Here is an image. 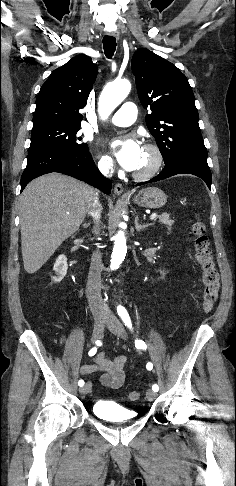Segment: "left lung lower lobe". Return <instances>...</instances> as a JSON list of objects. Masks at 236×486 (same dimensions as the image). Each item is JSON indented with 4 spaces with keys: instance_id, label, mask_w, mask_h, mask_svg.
Wrapping results in <instances>:
<instances>
[{
    "instance_id": "1",
    "label": "left lung lower lobe",
    "mask_w": 236,
    "mask_h": 486,
    "mask_svg": "<svg viewBox=\"0 0 236 486\" xmlns=\"http://www.w3.org/2000/svg\"><path fill=\"white\" fill-rule=\"evenodd\" d=\"M182 173L193 174L200 177L206 182L208 188L211 189L212 175L210 168L207 164V159L192 157H180L173 159L168 163H165V167L162 172L148 182L160 181L176 174ZM145 183H139L138 185H142Z\"/></svg>"
}]
</instances>
